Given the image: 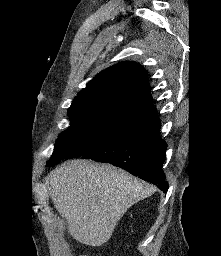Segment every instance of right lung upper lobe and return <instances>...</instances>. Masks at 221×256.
I'll list each match as a JSON object with an SVG mask.
<instances>
[{
    "instance_id": "obj_1",
    "label": "right lung upper lobe",
    "mask_w": 221,
    "mask_h": 256,
    "mask_svg": "<svg viewBox=\"0 0 221 256\" xmlns=\"http://www.w3.org/2000/svg\"><path fill=\"white\" fill-rule=\"evenodd\" d=\"M104 107L143 115L145 122L157 117L146 70L130 61L103 70L75 97L69 111Z\"/></svg>"
}]
</instances>
